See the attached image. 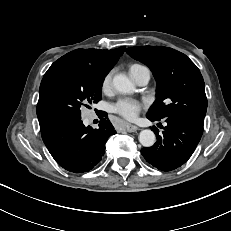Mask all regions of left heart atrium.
<instances>
[{
  "mask_svg": "<svg viewBox=\"0 0 231 231\" xmlns=\"http://www.w3.org/2000/svg\"><path fill=\"white\" fill-rule=\"evenodd\" d=\"M141 108V104L131 98H122L113 105V111L128 120L135 119Z\"/></svg>",
  "mask_w": 231,
  "mask_h": 231,
  "instance_id": "39dd6f15",
  "label": "left heart atrium"
}]
</instances>
